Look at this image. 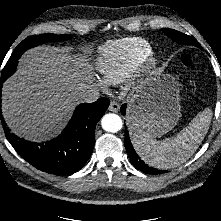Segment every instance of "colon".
Segmentation results:
<instances>
[{
    "label": "colon",
    "mask_w": 221,
    "mask_h": 221,
    "mask_svg": "<svg viewBox=\"0 0 221 221\" xmlns=\"http://www.w3.org/2000/svg\"><path fill=\"white\" fill-rule=\"evenodd\" d=\"M181 62L183 64V66L186 68H192V66L194 64L192 57L187 53H184L181 56Z\"/></svg>",
    "instance_id": "5ec220e1"
}]
</instances>
